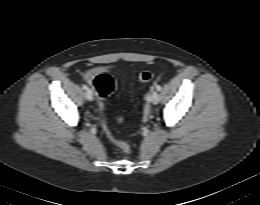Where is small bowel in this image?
Masks as SVG:
<instances>
[{"mask_svg": "<svg viewBox=\"0 0 260 205\" xmlns=\"http://www.w3.org/2000/svg\"><path fill=\"white\" fill-rule=\"evenodd\" d=\"M100 72L110 73V72H111V69H110V67H108V66H100V67L91 68V69H88V70H86V71L83 72V78H84V80H85L88 84L92 85L95 76H96L98 73H100Z\"/></svg>", "mask_w": 260, "mask_h": 205, "instance_id": "obj_1", "label": "small bowel"}]
</instances>
